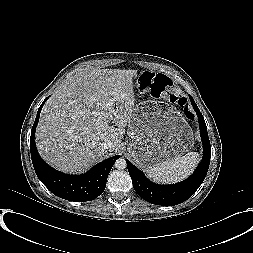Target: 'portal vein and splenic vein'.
I'll return each instance as SVG.
<instances>
[{
	"label": "portal vein and splenic vein",
	"mask_w": 253,
	"mask_h": 253,
	"mask_svg": "<svg viewBox=\"0 0 253 253\" xmlns=\"http://www.w3.org/2000/svg\"><path fill=\"white\" fill-rule=\"evenodd\" d=\"M112 106H113V103H112V102H108V103H107V108H108V111H109L110 113L113 112ZM111 116H112V115H111Z\"/></svg>",
	"instance_id": "18ae733b"
}]
</instances>
